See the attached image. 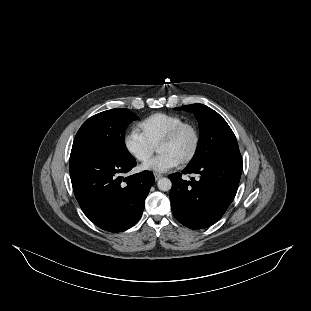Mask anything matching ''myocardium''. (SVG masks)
Here are the masks:
<instances>
[{
  "mask_svg": "<svg viewBox=\"0 0 311 311\" xmlns=\"http://www.w3.org/2000/svg\"><path fill=\"white\" fill-rule=\"evenodd\" d=\"M188 127H192L195 131V145L188 157H186L183 161L180 163L183 166H187L191 164L198 156L201 145H202V130L200 125L194 121V120H184L181 123H179L177 126L172 128L158 143L157 147L162 144H170L175 142L178 137L181 135V133Z\"/></svg>",
  "mask_w": 311,
  "mask_h": 311,
  "instance_id": "myocardium-1",
  "label": "myocardium"
}]
</instances>
